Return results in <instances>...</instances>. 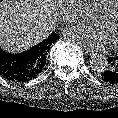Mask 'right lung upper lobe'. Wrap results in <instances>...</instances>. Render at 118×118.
<instances>
[{
  "label": "right lung upper lobe",
  "instance_id": "obj_1",
  "mask_svg": "<svg viewBox=\"0 0 118 118\" xmlns=\"http://www.w3.org/2000/svg\"><path fill=\"white\" fill-rule=\"evenodd\" d=\"M59 39V36L56 35L55 33H52L47 40L35 45L34 47H32L30 50L34 52L35 56H36V60H37V66L36 68L38 70H42L43 67L46 64V56L47 53L49 51V48L51 46V44L55 41Z\"/></svg>",
  "mask_w": 118,
  "mask_h": 118
}]
</instances>
